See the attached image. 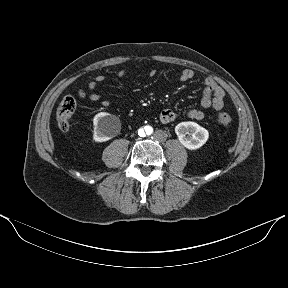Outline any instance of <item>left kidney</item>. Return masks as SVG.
I'll use <instances>...</instances> for the list:
<instances>
[{"label": "left kidney", "mask_w": 288, "mask_h": 288, "mask_svg": "<svg viewBox=\"0 0 288 288\" xmlns=\"http://www.w3.org/2000/svg\"><path fill=\"white\" fill-rule=\"evenodd\" d=\"M175 133L180 143L189 150L199 149L209 138V132L205 128L191 121L177 124Z\"/></svg>", "instance_id": "obj_1"}]
</instances>
